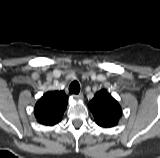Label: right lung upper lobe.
Wrapping results in <instances>:
<instances>
[{"label":"right lung upper lobe","instance_id":"obj_1","mask_svg":"<svg viewBox=\"0 0 160 158\" xmlns=\"http://www.w3.org/2000/svg\"><path fill=\"white\" fill-rule=\"evenodd\" d=\"M68 97L63 91L45 93L36 103L34 113L37 121L52 126L59 123L67 106Z\"/></svg>","mask_w":160,"mask_h":158}]
</instances>
